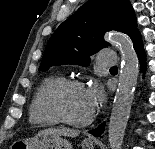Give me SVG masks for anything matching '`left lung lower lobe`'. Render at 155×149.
Here are the masks:
<instances>
[{"mask_svg": "<svg viewBox=\"0 0 155 149\" xmlns=\"http://www.w3.org/2000/svg\"><path fill=\"white\" fill-rule=\"evenodd\" d=\"M133 43H134V49L136 50L138 57L141 61V70L143 73H145L146 70V65H145V60H146V56H145V52L143 49V45H142V39H141V35L138 32V30L133 34V36L131 37ZM104 128H105V124H101L99 127H97L96 129H93L91 131H89L90 134L94 135V136H101V134L104 132Z\"/></svg>", "mask_w": 155, "mask_h": 149, "instance_id": "obj_1", "label": "left lung lower lobe"}]
</instances>
